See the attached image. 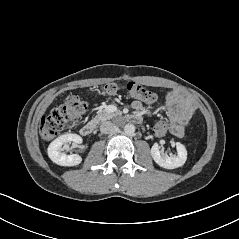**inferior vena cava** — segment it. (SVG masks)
I'll use <instances>...</instances> for the list:
<instances>
[{"label":"inferior vena cava","instance_id":"1","mask_svg":"<svg viewBox=\"0 0 239 239\" xmlns=\"http://www.w3.org/2000/svg\"><path fill=\"white\" fill-rule=\"evenodd\" d=\"M100 131L104 134H113L118 131V127L114 123L106 121L100 125Z\"/></svg>","mask_w":239,"mask_h":239}]
</instances>
